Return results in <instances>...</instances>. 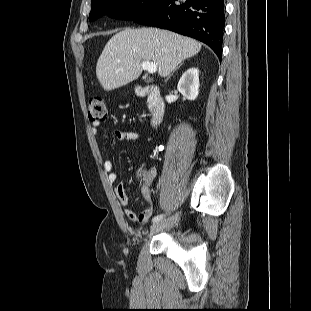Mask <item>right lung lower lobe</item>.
<instances>
[{
  "instance_id": "right-lung-lower-lobe-1",
  "label": "right lung lower lobe",
  "mask_w": 311,
  "mask_h": 311,
  "mask_svg": "<svg viewBox=\"0 0 311 311\" xmlns=\"http://www.w3.org/2000/svg\"><path fill=\"white\" fill-rule=\"evenodd\" d=\"M133 21L198 39L221 59L224 0H160Z\"/></svg>"
}]
</instances>
